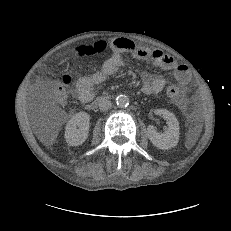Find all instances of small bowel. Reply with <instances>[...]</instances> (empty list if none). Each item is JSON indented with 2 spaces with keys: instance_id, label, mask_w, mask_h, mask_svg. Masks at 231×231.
I'll return each mask as SVG.
<instances>
[{
  "instance_id": "small-bowel-1",
  "label": "small bowel",
  "mask_w": 231,
  "mask_h": 231,
  "mask_svg": "<svg viewBox=\"0 0 231 231\" xmlns=\"http://www.w3.org/2000/svg\"><path fill=\"white\" fill-rule=\"evenodd\" d=\"M113 53L108 57L102 68L94 74L80 78L76 83V93L84 103L91 101L95 94V88L103 84L110 76L124 65L125 55L141 60L151 61L154 65L169 71H173L177 82L186 87L190 81L188 68L178 63L173 57L161 50H151L137 45L133 40L119 37L113 40ZM165 80L159 76L145 74L143 76L142 92L147 95L156 94L165 87Z\"/></svg>"
}]
</instances>
